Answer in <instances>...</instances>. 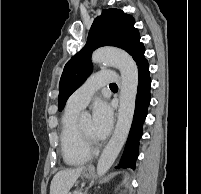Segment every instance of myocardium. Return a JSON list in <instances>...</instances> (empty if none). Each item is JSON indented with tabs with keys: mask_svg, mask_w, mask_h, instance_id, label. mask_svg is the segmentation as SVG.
<instances>
[{
	"mask_svg": "<svg viewBox=\"0 0 201 194\" xmlns=\"http://www.w3.org/2000/svg\"><path fill=\"white\" fill-rule=\"evenodd\" d=\"M77 129L83 145L91 151L95 145L94 140L81 129L80 124H77Z\"/></svg>",
	"mask_w": 201,
	"mask_h": 194,
	"instance_id": "1",
	"label": "myocardium"
}]
</instances>
